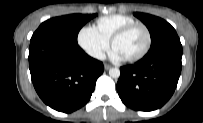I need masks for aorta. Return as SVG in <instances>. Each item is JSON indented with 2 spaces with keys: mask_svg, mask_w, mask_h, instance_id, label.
Wrapping results in <instances>:
<instances>
[{
  "mask_svg": "<svg viewBox=\"0 0 203 123\" xmlns=\"http://www.w3.org/2000/svg\"><path fill=\"white\" fill-rule=\"evenodd\" d=\"M109 75L112 78H119V76H120V70L118 68H111L109 70Z\"/></svg>",
  "mask_w": 203,
  "mask_h": 123,
  "instance_id": "762f6f07",
  "label": "aorta"
}]
</instances>
